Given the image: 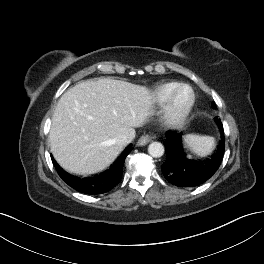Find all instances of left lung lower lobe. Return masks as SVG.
Returning a JSON list of instances; mask_svg holds the SVG:
<instances>
[{"label": "left lung lower lobe", "instance_id": "left-lung-lower-lobe-1", "mask_svg": "<svg viewBox=\"0 0 264 264\" xmlns=\"http://www.w3.org/2000/svg\"><path fill=\"white\" fill-rule=\"evenodd\" d=\"M220 129L221 141L217 150L206 158L190 159L183 150L182 136L175 131H168L165 140L166 160L161 166L164 177L179 187H195L209 178L218 170L225 151L223 125L215 118Z\"/></svg>", "mask_w": 264, "mask_h": 264}]
</instances>
